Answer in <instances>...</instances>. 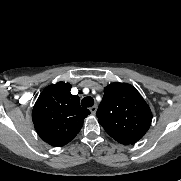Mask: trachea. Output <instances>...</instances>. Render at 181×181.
<instances>
[{
    "instance_id": "1",
    "label": "trachea",
    "mask_w": 181,
    "mask_h": 181,
    "mask_svg": "<svg viewBox=\"0 0 181 181\" xmlns=\"http://www.w3.org/2000/svg\"><path fill=\"white\" fill-rule=\"evenodd\" d=\"M83 107H91L94 105V99L90 96L84 97L81 101Z\"/></svg>"
}]
</instances>
